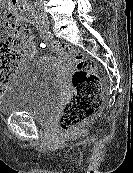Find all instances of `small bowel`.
<instances>
[{"mask_svg": "<svg viewBox=\"0 0 133 173\" xmlns=\"http://www.w3.org/2000/svg\"><path fill=\"white\" fill-rule=\"evenodd\" d=\"M16 50L26 58H33L36 55V46L33 34L24 32L21 34V40L16 44Z\"/></svg>", "mask_w": 133, "mask_h": 173, "instance_id": "small-bowel-1", "label": "small bowel"}]
</instances>
